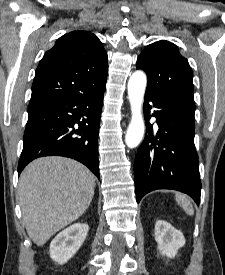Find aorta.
Instances as JSON below:
<instances>
[{"label":"aorta","instance_id":"762f6f07","mask_svg":"<svg viewBox=\"0 0 225 275\" xmlns=\"http://www.w3.org/2000/svg\"><path fill=\"white\" fill-rule=\"evenodd\" d=\"M146 85L147 77L143 71H135L128 81V98L132 116L126 132L125 143L129 148L137 147L144 135L142 104Z\"/></svg>","mask_w":225,"mask_h":275}]
</instances>
